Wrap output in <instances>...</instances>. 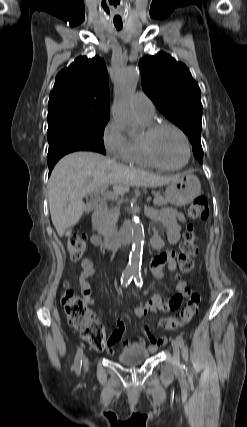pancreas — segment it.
<instances>
[{
  "mask_svg": "<svg viewBox=\"0 0 247 427\" xmlns=\"http://www.w3.org/2000/svg\"><path fill=\"white\" fill-rule=\"evenodd\" d=\"M153 204L155 206H163L167 203L158 192H154ZM120 216V205L117 204L110 209H105L99 212V221L96 223V229L103 236H108L116 231V224Z\"/></svg>",
  "mask_w": 247,
  "mask_h": 427,
  "instance_id": "obj_1",
  "label": "pancreas"
}]
</instances>
